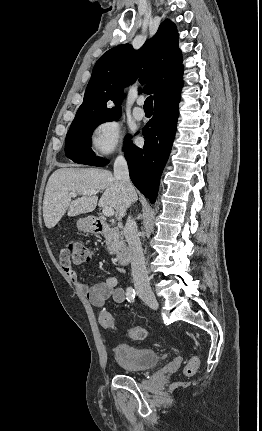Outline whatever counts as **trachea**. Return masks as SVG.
Masks as SVG:
<instances>
[{"label":"trachea","mask_w":262,"mask_h":431,"mask_svg":"<svg viewBox=\"0 0 262 431\" xmlns=\"http://www.w3.org/2000/svg\"><path fill=\"white\" fill-rule=\"evenodd\" d=\"M144 110H153V97L149 96L144 102Z\"/></svg>","instance_id":"obj_1"}]
</instances>
